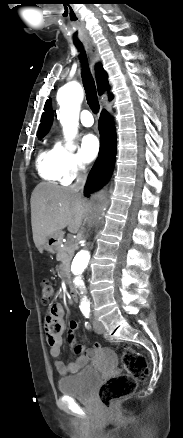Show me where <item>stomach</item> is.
Returning <instances> with one entry per match:
<instances>
[{
  "label": "stomach",
  "mask_w": 183,
  "mask_h": 438,
  "mask_svg": "<svg viewBox=\"0 0 183 438\" xmlns=\"http://www.w3.org/2000/svg\"><path fill=\"white\" fill-rule=\"evenodd\" d=\"M61 239H62L61 233H56L54 235H51L47 238L45 244L43 245V248L49 253H55L59 248Z\"/></svg>",
  "instance_id": "obj_1"
}]
</instances>
